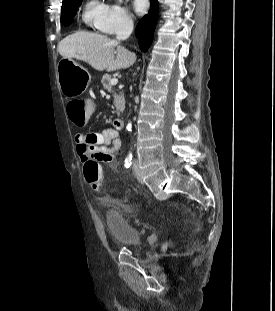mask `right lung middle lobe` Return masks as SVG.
Returning a JSON list of instances; mask_svg holds the SVG:
<instances>
[{"mask_svg": "<svg viewBox=\"0 0 275 311\" xmlns=\"http://www.w3.org/2000/svg\"><path fill=\"white\" fill-rule=\"evenodd\" d=\"M82 0H64L61 9V23L65 26L71 24L77 8L80 6Z\"/></svg>", "mask_w": 275, "mask_h": 311, "instance_id": "right-lung-middle-lobe-1", "label": "right lung middle lobe"}]
</instances>
